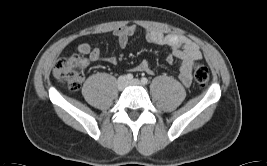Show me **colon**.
<instances>
[{
	"label": "colon",
	"mask_w": 267,
	"mask_h": 166,
	"mask_svg": "<svg viewBox=\"0 0 267 166\" xmlns=\"http://www.w3.org/2000/svg\"><path fill=\"white\" fill-rule=\"evenodd\" d=\"M83 61L81 58H72L60 61L54 70L55 77L69 88L74 89L78 83L79 73L82 69ZM197 82L204 87L209 83V71L205 67H200L197 71Z\"/></svg>",
	"instance_id": "5ec220e1"
}]
</instances>
